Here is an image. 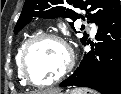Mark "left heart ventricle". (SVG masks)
<instances>
[{
  "instance_id": "obj_1",
  "label": "left heart ventricle",
  "mask_w": 121,
  "mask_h": 94,
  "mask_svg": "<svg viewBox=\"0 0 121 94\" xmlns=\"http://www.w3.org/2000/svg\"><path fill=\"white\" fill-rule=\"evenodd\" d=\"M64 48L56 41L45 40L34 46L27 59L31 78L37 83L54 79L66 64Z\"/></svg>"
}]
</instances>
